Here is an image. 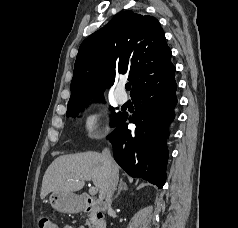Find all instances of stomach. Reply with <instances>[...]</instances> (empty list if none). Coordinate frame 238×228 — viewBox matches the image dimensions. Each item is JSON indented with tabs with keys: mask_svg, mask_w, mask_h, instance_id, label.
Returning a JSON list of instances; mask_svg holds the SVG:
<instances>
[{
	"mask_svg": "<svg viewBox=\"0 0 238 228\" xmlns=\"http://www.w3.org/2000/svg\"><path fill=\"white\" fill-rule=\"evenodd\" d=\"M49 202L54 209L63 213H74L81 208L79 197L73 192H53Z\"/></svg>",
	"mask_w": 238,
	"mask_h": 228,
	"instance_id": "stomach-1",
	"label": "stomach"
}]
</instances>
